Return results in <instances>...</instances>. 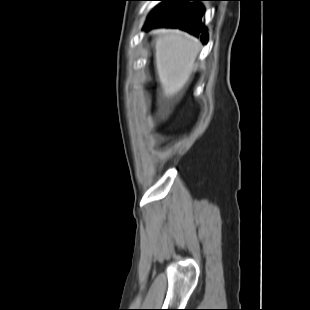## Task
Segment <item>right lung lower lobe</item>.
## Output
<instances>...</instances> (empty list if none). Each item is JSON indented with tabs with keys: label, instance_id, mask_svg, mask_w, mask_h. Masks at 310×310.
<instances>
[{
	"label": "right lung lower lobe",
	"instance_id": "obj_1",
	"mask_svg": "<svg viewBox=\"0 0 310 310\" xmlns=\"http://www.w3.org/2000/svg\"><path fill=\"white\" fill-rule=\"evenodd\" d=\"M149 17L145 29L156 26L178 27L196 36L202 33L205 43L207 35L202 24L203 8L197 4L203 0H163Z\"/></svg>",
	"mask_w": 310,
	"mask_h": 310
}]
</instances>
